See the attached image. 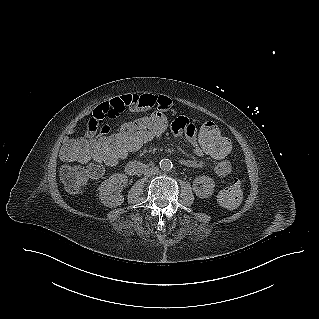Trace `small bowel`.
<instances>
[{
    "label": "small bowel",
    "mask_w": 319,
    "mask_h": 319,
    "mask_svg": "<svg viewBox=\"0 0 319 319\" xmlns=\"http://www.w3.org/2000/svg\"><path fill=\"white\" fill-rule=\"evenodd\" d=\"M173 107V101L166 96L152 94L145 95H124L117 98L102 99L101 103L93 110L85 125L86 137L99 139L110 132L112 122L123 116L126 109L145 110L159 108L169 110ZM169 129L180 136L183 141L190 142V150L196 156L195 159L184 158L182 163L192 168H203L209 166L217 177L225 178L230 173V165L226 160L213 158L211 163L203 159L209 155L205 149L199 147L195 140V122L191 121L190 115H173L169 122ZM141 148V147H140ZM139 148V149H140Z\"/></svg>",
    "instance_id": "c3829d8e"
}]
</instances>
